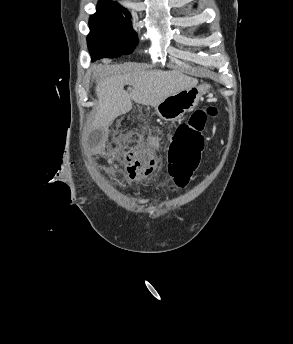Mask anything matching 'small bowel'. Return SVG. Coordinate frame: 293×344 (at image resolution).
<instances>
[{"label":"small bowel","instance_id":"small-bowel-1","mask_svg":"<svg viewBox=\"0 0 293 344\" xmlns=\"http://www.w3.org/2000/svg\"><path fill=\"white\" fill-rule=\"evenodd\" d=\"M145 138L152 147L157 148V149L161 148V140L158 136L153 135V134H148L145 136Z\"/></svg>","mask_w":293,"mask_h":344}]
</instances>
